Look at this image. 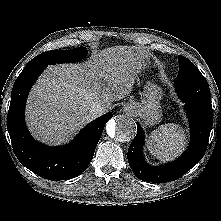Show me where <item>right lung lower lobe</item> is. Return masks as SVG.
Masks as SVG:
<instances>
[{"label": "right lung lower lobe", "mask_w": 221, "mask_h": 221, "mask_svg": "<svg viewBox=\"0 0 221 221\" xmlns=\"http://www.w3.org/2000/svg\"><path fill=\"white\" fill-rule=\"evenodd\" d=\"M47 65H26L16 79L7 117V129L18 160L26 168L48 180H67L79 176L93 158L95 148L110 112L89 123L72 143L48 147L36 142L29 134L24 120L28 92Z\"/></svg>", "instance_id": "obj_1"}]
</instances>
